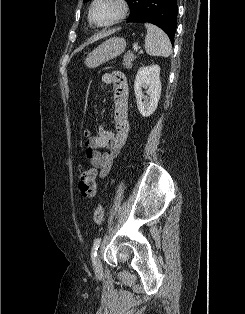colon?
Segmentation results:
<instances>
[{
    "label": "colon",
    "mask_w": 245,
    "mask_h": 314,
    "mask_svg": "<svg viewBox=\"0 0 245 314\" xmlns=\"http://www.w3.org/2000/svg\"><path fill=\"white\" fill-rule=\"evenodd\" d=\"M79 189L81 195L85 199H91L96 193V170L94 168H88L81 174ZM104 208L102 204H99L95 210L94 219L98 225L103 222Z\"/></svg>",
    "instance_id": "obj_1"
}]
</instances>
